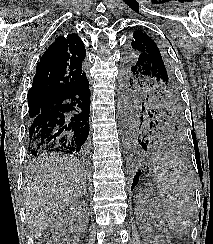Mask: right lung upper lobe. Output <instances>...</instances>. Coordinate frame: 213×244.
Returning a JSON list of instances; mask_svg holds the SVG:
<instances>
[{"label":"right lung upper lobe","mask_w":213,"mask_h":244,"mask_svg":"<svg viewBox=\"0 0 213 244\" xmlns=\"http://www.w3.org/2000/svg\"><path fill=\"white\" fill-rule=\"evenodd\" d=\"M85 55L80 37L69 30L62 32L38 62L28 98L54 96L73 89L85 76Z\"/></svg>","instance_id":"right-lung-upper-lobe-1"}]
</instances>
